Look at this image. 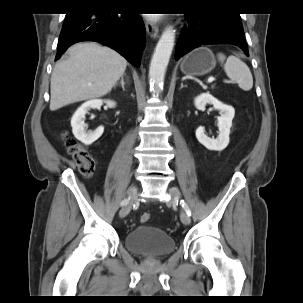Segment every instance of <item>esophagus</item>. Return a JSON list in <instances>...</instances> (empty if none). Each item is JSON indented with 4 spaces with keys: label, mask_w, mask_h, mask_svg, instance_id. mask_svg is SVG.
<instances>
[{
    "label": "esophagus",
    "mask_w": 303,
    "mask_h": 303,
    "mask_svg": "<svg viewBox=\"0 0 303 303\" xmlns=\"http://www.w3.org/2000/svg\"><path fill=\"white\" fill-rule=\"evenodd\" d=\"M145 28H146L147 33L151 37H153V38L158 37V35H159V26L156 23L151 22V21H146Z\"/></svg>",
    "instance_id": "esophagus-1"
}]
</instances>
